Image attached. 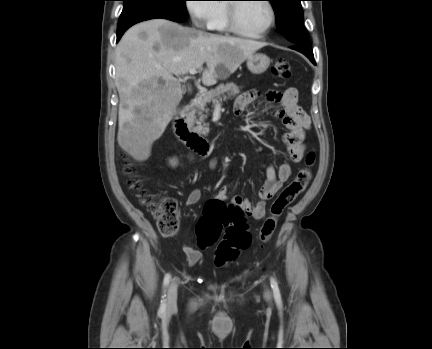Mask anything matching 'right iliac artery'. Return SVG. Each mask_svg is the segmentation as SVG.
Wrapping results in <instances>:
<instances>
[{"label": "right iliac artery", "mask_w": 432, "mask_h": 349, "mask_svg": "<svg viewBox=\"0 0 432 349\" xmlns=\"http://www.w3.org/2000/svg\"><path fill=\"white\" fill-rule=\"evenodd\" d=\"M170 279H171L170 274H166L165 277H164V281H163V287H164V289L168 286V284L170 282ZM164 297H165V295L162 297L163 299L161 301V306H160V311L161 312H164L165 309H166V302H165Z\"/></svg>", "instance_id": "right-iliac-artery-1"}]
</instances>
